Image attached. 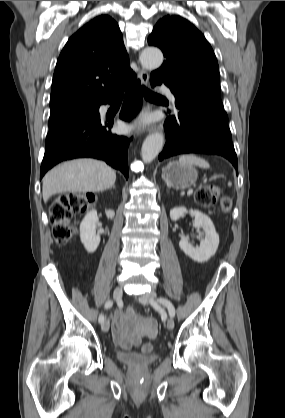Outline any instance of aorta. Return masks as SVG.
<instances>
[{
	"mask_svg": "<svg viewBox=\"0 0 285 418\" xmlns=\"http://www.w3.org/2000/svg\"><path fill=\"white\" fill-rule=\"evenodd\" d=\"M141 65L146 69H157L163 62V54L157 48H145L140 54ZM164 144V136L154 133L148 136L141 148L142 160L145 163L152 162L159 154Z\"/></svg>",
	"mask_w": 285,
	"mask_h": 418,
	"instance_id": "762f6f07",
	"label": "aorta"
}]
</instances>
